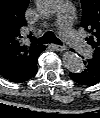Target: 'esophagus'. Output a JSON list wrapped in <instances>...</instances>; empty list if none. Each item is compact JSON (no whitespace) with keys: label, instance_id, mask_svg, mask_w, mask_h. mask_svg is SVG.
<instances>
[{"label":"esophagus","instance_id":"obj_1","mask_svg":"<svg viewBox=\"0 0 100 118\" xmlns=\"http://www.w3.org/2000/svg\"><path fill=\"white\" fill-rule=\"evenodd\" d=\"M50 46L56 51H64L66 49L64 46L56 45V44H51Z\"/></svg>","mask_w":100,"mask_h":118}]
</instances>
